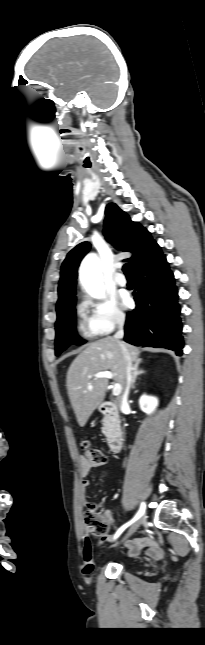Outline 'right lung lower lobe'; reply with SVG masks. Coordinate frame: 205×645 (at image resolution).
Wrapping results in <instances>:
<instances>
[{
	"label": "right lung lower lobe",
	"instance_id": "98d812e1",
	"mask_svg": "<svg viewBox=\"0 0 205 645\" xmlns=\"http://www.w3.org/2000/svg\"><path fill=\"white\" fill-rule=\"evenodd\" d=\"M135 272L136 309L127 314L124 340L182 355L181 307L173 272L162 254Z\"/></svg>",
	"mask_w": 205,
	"mask_h": 645
}]
</instances>
